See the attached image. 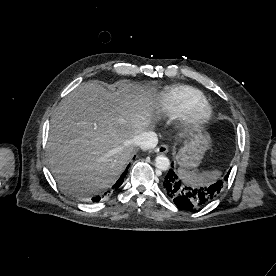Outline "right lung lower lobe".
I'll return each mask as SVG.
<instances>
[{"label": "right lung lower lobe", "mask_w": 276, "mask_h": 276, "mask_svg": "<svg viewBox=\"0 0 276 276\" xmlns=\"http://www.w3.org/2000/svg\"><path fill=\"white\" fill-rule=\"evenodd\" d=\"M126 173H127V171H126ZM126 173H124L121 176V178L113 185L112 189L116 190V189L119 188V186L123 183V180H124V177H125ZM92 200L98 202L100 200V196H97V197L93 198Z\"/></svg>", "instance_id": "98d812e1"}]
</instances>
